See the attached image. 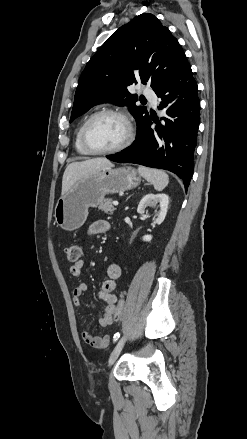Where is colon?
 Masks as SVG:
<instances>
[{"label": "colon", "instance_id": "colon-1", "mask_svg": "<svg viewBox=\"0 0 247 439\" xmlns=\"http://www.w3.org/2000/svg\"><path fill=\"white\" fill-rule=\"evenodd\" d=\"M82 256V249L79 245H72L67 249V258L70 262L78 261ZM125 308V300L121 297L115 305L112 315L113 322L120 320Z\"/></svg>", "mask_w": 247, "mask_h": 439}]
</instances>
